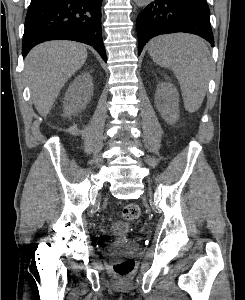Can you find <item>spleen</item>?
<instances>
[{"instance_id": "obj_1", "label": "spleen", "mask_w": 245, "mask_h": 300, "mask_svg": "<svg viewBox=\"0 0 245 300\" xmlns=\"http://www.w3.org/2000/svg\"><path fill=\"white\" fill-rule=\"evenodd\" d=\"M154 62L170 68L177 77L187 111L201 106L211 68L206 44L194 35L172 34L156 37L148 44Z\"/></svg>"}]
</instances>
